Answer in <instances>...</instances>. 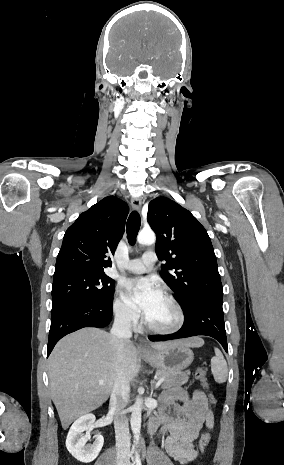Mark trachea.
I'll return each mask as SVG.
<instances>
[{"instance_id": "trachea-1", "label": "trachea", "mask_w": 284, "mask_h": 465, "mask_svg": "<svg viewBox=\"0 0 284 465\" xmlns=\"http://www.w3.org/2000/svg\"><path fill=\"white\" fill-rule=\"evenodd\" d=\"M140 225H141V219H140L139 213L132 212L126 224L127 239L130 245H135L137 234L140 229Z\"/></svg>"}]
</instances>
